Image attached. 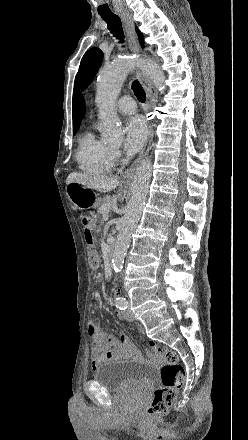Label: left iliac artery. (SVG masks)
Listing matches in <instances>:
<instances>
[{
    "mask_svg": "<svg viewBox=\"0 0 248 440\" xmlns=\"http://www.w3.org/2000/svg\"><path fill=\"white\" fill-rule=\"evenodd\" d=\"M115 305L120 310H125L128 307V301L124 297H117L115 300Z\"/></svg>",
    "mask_w": 248,
    "mask_h": 440,
    "instance_id": "left-iliac-artery-1",
    "label": "left iliac artery"
}]
</instances>
